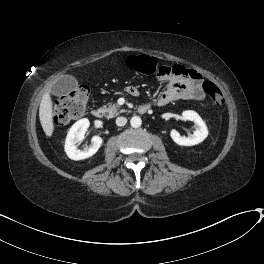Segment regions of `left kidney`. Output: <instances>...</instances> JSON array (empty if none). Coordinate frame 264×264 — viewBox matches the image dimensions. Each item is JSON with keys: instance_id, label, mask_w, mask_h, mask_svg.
Segmentation results:
<instances>
[{"instance_id": "5707ae66", "label": "left kidney", "mask_w": 264, "mask_h": 264, "mask_svg": "<svg viewBox=\"0 0 264 264\" xmlns=\"http://www.w3.org/2000/svg\"><path fill=\"white\" fill-rule=\"evenodd\" d=\"M184 120L194 122L196 130L189 137L181 136L176 130L172 129L170 136L175 143L181 146H193L201 143L208 136V129L202 118L192 110H187L182 113Z\"/></svg>"}]
</instances>
